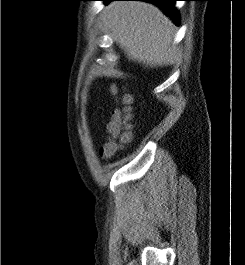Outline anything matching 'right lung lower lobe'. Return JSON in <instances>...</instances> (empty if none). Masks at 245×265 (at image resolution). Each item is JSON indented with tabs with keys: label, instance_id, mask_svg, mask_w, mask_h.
I'll use <instances>...</instances> for the list:
<instances>
[{
	"label": "right lung lower lobe",
	"instance_id": "98d812e1",
	"mask_svg": "<svg viewBox=\"0 0 245 265\" xmlns=\"http://www.w3.org/2000/svg\"><path fill=\"white\" fill-rule=\"evenodd\" d=\"M105 4L110 1H146L151 2L157 5L160 9H162L176 24H179V15L178 11L175 8V2L177 0H101Z\"/></svg>",
	"mask_w": 245,
	"mask_h": 265
}]
</instances>
